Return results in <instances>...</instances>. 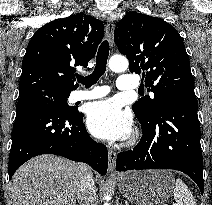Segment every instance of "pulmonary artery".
<instances>
[{
    "instance_id": "pulmonary-artery-1",
    "label": "pulmonary artery",
    "mask_w": 212,
    "mask_h": 205,
    "mask_svg": "<svg viewBox=\"0 0 212 205\" xmlns=\"http://www.w3.org/2000/svg\"><path fill=\"white\" fill-rule=\"evenodd\" d=\"M117 88L119 90H134L137 89L139 83L131 75L121 74L117 79ZM110 89L108 86H93L89 90H77L73 94V100H90L103 97L109 93Z\"/></svg>"
}]
</instances>
